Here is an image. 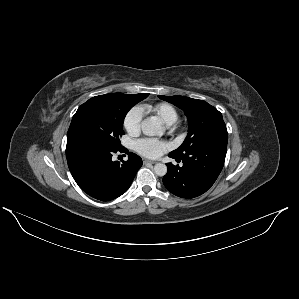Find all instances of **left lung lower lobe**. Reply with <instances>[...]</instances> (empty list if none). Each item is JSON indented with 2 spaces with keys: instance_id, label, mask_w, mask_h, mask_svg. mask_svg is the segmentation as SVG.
Here are the masks:
<instances>
[{
  "instance_id": "0a47b994",
  "label": "left lung lower lobe",
  "mask_w": 299,
  "mask_h": 299,
  "mask_svg": "<svg viewBox=\"0 0 299 299\" xmlns=\"http://www.w3.org/2000/svg\"><path fill=\"white\" fill-rule=\"evenodd\" d=\"M227 142H214L200 146L183 156L175 158L183 166L167 163V174L163 177L165 187L174 195L194 198L205 193L216 181L225 161Z\"/></svg>"
}]
</instances>
